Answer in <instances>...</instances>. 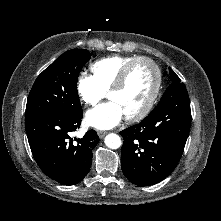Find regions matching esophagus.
Segmentation results:
<instances>
[{"label":"esophagus","instance_id":"1","mask_svg":"<svg viewBox=\"0 0 221 221\" xmlns=\"http://www.w3.org/2000/svg\"><path fill=\"white\" fill-rule=\"evenodd\" d=\"M107 134V132H104V131H99L98 132V136H99V138H103L105 135Z\"/></svg>","mask_w":221,"mask_h":221}]
</instances>
